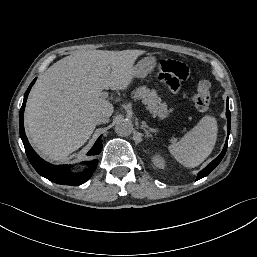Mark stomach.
<instances>
[{
	"label": "stomach",
	"instance_id": "0dacf381",
	"mask_svg": "<svg viewBox=\"0 0 257 257\" xmlns=\"http://www.w3.org/2000/svg\"><path fill=\"white\" fill-rule=\"evenodd\" d=\"M156 64V58L153 56H148L140 60L134 66V78H145Z\"/></svg>",
	"mask_w": 257,
	"mask_h": 257
}]
</instances>
